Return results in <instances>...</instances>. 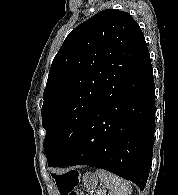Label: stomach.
<instances>
[{
    "label": "stomach",
    "mask_w": 178,
    "mask_h": 195,
    "mask_svg": "<svg viewBox=\"0 0 178 195\" xmlns=\"http://www.w3.org/2000/svg\"><path fill=\"white\" fill-rule=\"evenodd\" d=\"M82 182L84 185V188L86 189L87 195H93L94 191L96 190L98 186V178L95 174L92 173H86L82 177Z\"/></svg>",
    "instance_id": "obj_1"
}]
</instances>
